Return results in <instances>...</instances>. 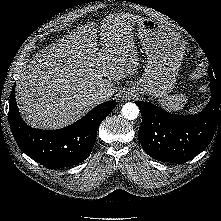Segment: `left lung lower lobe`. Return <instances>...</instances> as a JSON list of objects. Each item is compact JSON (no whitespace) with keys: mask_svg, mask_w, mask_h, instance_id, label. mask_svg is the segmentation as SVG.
Here are the masks:
<instances>
[{"mask_svg":"<svg viewBox=\"0 0 221 221\" xmlns=\"http://www.w3.org/2000/svg\"><path fill=\"white\" fill-rule=\"evenodd\" d=\"M210 75L211 98L197 115L182 116L166 112L149 102L136 101L142 124L139 141L152 158L182 164L201 153L221 127V82Z\"/></svg>","mask_w":221,"mask_h":221,"instance_id":"0a47b994","label":"left lung lower lobe"}]
</instances>
